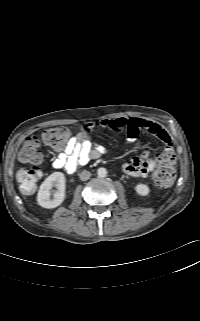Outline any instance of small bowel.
I'll use <instances>...</instances> for the list:
<instances>
[{
    "instance_id": "c3829d8e",
    "label": "small bowel",
    "mask_w": 200,
    "mask_h": 321,
    "mask_svg": "<svg viewBox=\"0 0 200 321\" xmlns=\"http://www.w3.org/2000/svg\"><path fill=\"white\" fill-rule=\"evenodd\" d=\"M98 128H108L124 136L127 142H133L141 130L161 140L165 145L166 152H173L172 140L168 132L158 123L143 118L120 117L115 119H102L88 122L82 126L81 131L70 138L66 146L60 150L53 160L55 169H64L68 173L74 172L79 166L88 163L105 154L107 149L99 143H92L89 134ZM156 159L151 158L150 152L145 151L140 156L133 157L123 165L124 173L135 176H147L156 165Z\"/></svg>"
}]
</instances>
